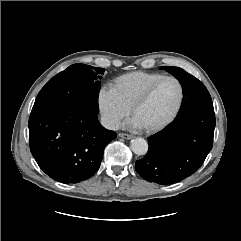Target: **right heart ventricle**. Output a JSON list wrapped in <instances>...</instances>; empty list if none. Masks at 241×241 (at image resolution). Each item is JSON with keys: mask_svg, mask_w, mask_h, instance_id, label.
<instances>
[{"mask_svg": "<svg viewBox=\"0 0 241 241\" xmlns=\"http://www.w3.org/2000/svg\"><path fill=\"white\" fill-rule=\"evenodd\" d=\"M163 76L157 72L136 71L117 77L111 85L118 98L130 109L143 91Z\"/></svg>", "mask_w": 241, "mask_h": 241, "instance_id": "obj_1", "label": "right heart ventricle"}]
</instances>
